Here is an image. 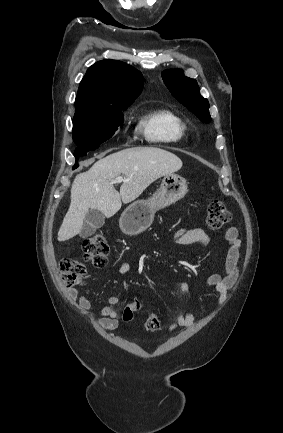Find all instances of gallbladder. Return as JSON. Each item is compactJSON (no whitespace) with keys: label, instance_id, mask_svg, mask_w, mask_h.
<instances>
[{"label":"gallbladder","instance_id":"bac80fb5","mask_svg":"<svg viewBox=\"0 0 283 433\" xmlns=\"http://www.w3.org/2000/svg\"><path fill=\"white\" fill-rule=\"evenodd\" d=\"M104 223L105 214H103L101 210H98V208H89L88 212L85 214L83 229L79 233L80 237L86 239V237L94 235L97 229L103 227Z\"/></svg>","mask_w":283,"mask_h":433}]
</instances>
